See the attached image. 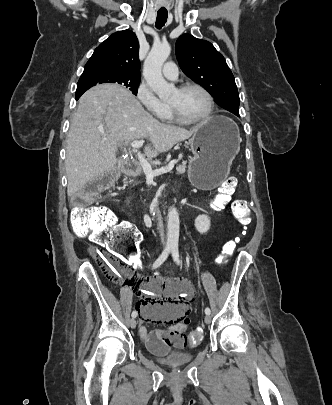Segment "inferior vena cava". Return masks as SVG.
Segmentation results:
<instances>
[{
  "label": "inferior vena cava",
  "instance_id": "obj_1",
  "mask_svg": "<svg viewBox=\"0 0 332 405\" xmlns=\"http://www.w3.org/2000/svg\"><path fill=\"white\" fill-rule=\"evenodd\" d=\"M158 219H159V221H160V223H161V215H160V212H158Z\"/></svg>",
  "mask_w": 332,
  "mask_h": 405
}]
</instances>
